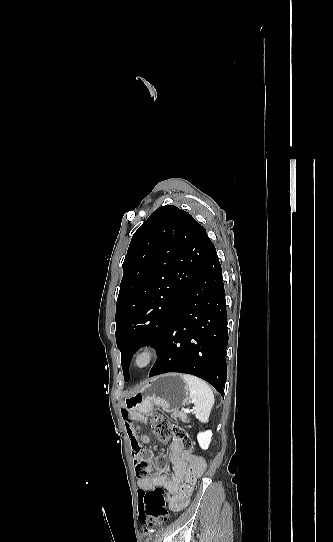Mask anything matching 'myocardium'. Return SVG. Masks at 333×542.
Masks as SVG:
<instances>
[{
    "label": "myocardium",
    "instance_id": "1",
    "mask_svg": "<svg viewBox=\"0 0 333 542\" xmlns=\"http://www.w3.org/2000/svg\"><path fill=\"white\" fill-rule=\"evenodd\" d=\"M158 347L154 344L143 345L134 355L132 367L136 371L148 369L158 357Z\"/></svg>",
    "mask_w": 333,
    "mask_h": 542
}]
</instances>
